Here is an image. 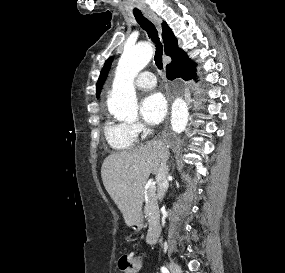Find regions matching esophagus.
Wrapping results in <instances>:
<instances>
[{
	"mask_svg": "<svg viewBox=\"0 0 285 273\" xmlns=\"http://www.w3.org/2000/svg\"><path fill=\"white\" fill-rule=\"evenodd\" d=\"M144 14L156 26L159 32H161L162 20L152 11H144Z\"/></svg>",
	"mask_w": 285,
	"mask_h": 273,
	"instance_id": "esophagus-1",
	"label": "esophagus"
}]
</instances>
